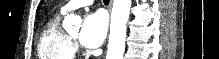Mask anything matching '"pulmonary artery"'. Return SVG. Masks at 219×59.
<instances>
[{"label":"pulmonary artery","instance_id":"pulmonary-artery-1","mask_svg":"<svg viewBox=\"0 0 219 59\" xmlns=\"http://www.w3.org/2000/svg\"><path fill=\"white\" fill-rule=\"evenodd\" d=\"M93 2V0H74V1H69L67 4H65L61 8V13H66L71 10L77 9L82 6L90 5Z\"/></svg>","mask_w":219,"mask_h":59}]
</instances>
